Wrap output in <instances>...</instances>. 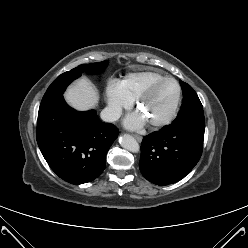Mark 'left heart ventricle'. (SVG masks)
Returning <instances> with one entry per match:
<instances>
[{
    "label": "left heart ventricle",
    "mask_w": 248,
    "mask_h": 248,
    "mask_svg": "<svg viewBox=\"0 0 248 248\" xmlns=\"http://www.w3.org/2000/svg\"><path fill=\"white\" fill-rule=\"evenodd\" d=\"M177 98V88L172 82L159 85L150 97L139 107V111L148 122L165 117L172 109Z\"/></svg>",
    "instance_id": "obj_1"
}]
</instances>
